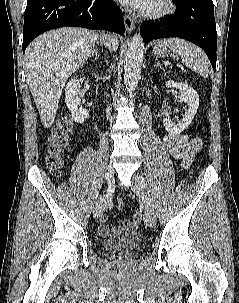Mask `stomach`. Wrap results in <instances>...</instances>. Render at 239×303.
I'll list each match as a JSON object with an SVG mask.
<instances>
[{
    "mask_svg": "<svg viewBox=\"0 0 239 303\" xmlns=\"http://www.w3.org/2000/svg\"><path fill=\"white\" fill-rule=\"evenodd\" d=\"M157 46V45H156ZM155 46V47H156ZM166 54V49H163V48H158V52H157V55L158 56H163Z\"/></svg>",
    "mask_w": 239,
    "mask_h": 303,
    "instance_id": "0dacf381",
    "label": "stomach"
}]
</instances>
